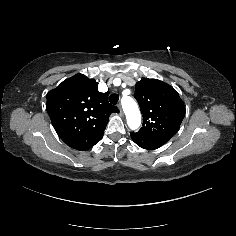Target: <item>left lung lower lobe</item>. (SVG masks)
Wrapping results in <instances>:
<instances>
[{"label": "left lung lower lobe", "instance_id": "obj_1", "mask_svg": "<svg viewBox=\"0 0 236 236\" xmlns=\"http://www.w3.org/2000/svg\"><path fill=\"white\" fill-rule=\"evenodd\" d=\"M132 140L141 148L154 150L164 145L168 139L159 137H143L137 133H131Z\"/></svg>", "mask_w": 236, "mask_h": 236}]
</instances>
